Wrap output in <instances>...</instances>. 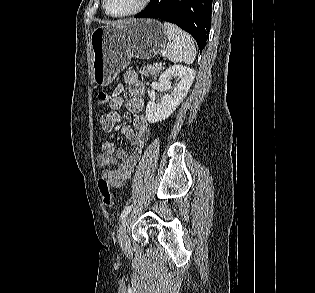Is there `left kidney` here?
<instances>
[{
  "mask_svg": "<svg viewBox=\"0 0 315 293\" xmlns=\"http://www.w3.org/2000/svg\"><path fill=\"white\" fill-rule=\"evenodd\" d=\"M195 78V71L183 65H173L159 77L161 85L171 94L163 96L160 103L149 101L146 107V118L149 123L167 119L187 96ZM176 79L172 85L171 80Z\"/></svg>",
  "mask_w": 315,
  "mask_h": 293,
  "instance_id": "left-kidney-1",
  "label": "left kidney"
}]
</instances>
